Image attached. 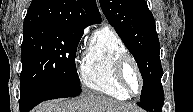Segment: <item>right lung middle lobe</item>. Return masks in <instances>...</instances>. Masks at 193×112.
I'll use <instances>...</instances> for the list:
<instances>
[{
  "mask_svg": "<svg viewBox=\"0 0 193 112\" xmlns=\"http://www.w3.org/2000/svg\"><path fill=\"white\" fill-rule=\"evenodd\" d=\"M83 30L39 27L23 32L21 97L40 94L48 99L81 93L75 56Z\"/></svg>",
  "mask_w": 193,
  "mask_h": 112,
  "instance_id": "dd1d6c3e",
  "label": "right lung middle lobe"
}]
</instances>
